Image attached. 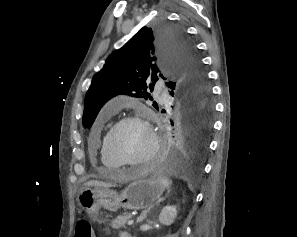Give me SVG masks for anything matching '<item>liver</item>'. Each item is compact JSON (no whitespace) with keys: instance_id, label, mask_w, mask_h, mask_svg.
Masks as SVG:
<instances>
[{"instance_id":"liver-1","label":"liver","mask_w":297,"mask_h":237,"mask_svg":"<svg viewBox=\"0 0 297 237\" xmlns=\"http://www.w3.org/2000/svg\"><path fill=\"white\" fill-rule=\"evenodd\" d=\"M85 186H89V187H100V188H109L112 187L111 184L105 183V182H101V181H97V180H91L85 183Z\"/></svg>"}]
</instances>
